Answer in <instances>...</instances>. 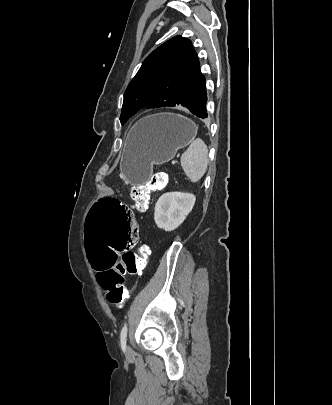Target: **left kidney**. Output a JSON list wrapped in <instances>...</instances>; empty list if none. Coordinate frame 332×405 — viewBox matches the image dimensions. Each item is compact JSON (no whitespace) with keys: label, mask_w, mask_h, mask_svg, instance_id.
Wrapping results in <instances>:
<instances>
[{"label":"left kidney","mask_w":332,"mask_h":405,"mask_svg":"<svg viewBox=\"0 0 332 405\" xmlns=\"http://www.w3.org/2000/svg\"><path fill=\"white\" fill-rule=\"evenodd\" d=\"M196 197L190 193L168 192L155 205L154 220L158 228L172 231L178 228L192 211Z\"/></svg>","instance_id":"left-kidney-1"}]
</instances>
